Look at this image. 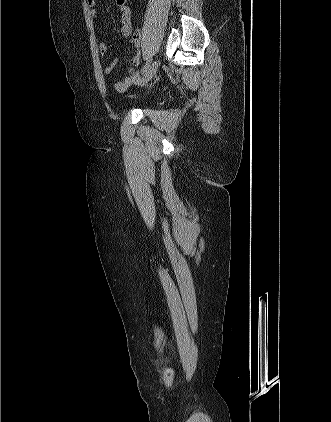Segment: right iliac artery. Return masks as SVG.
<instances>
[{
  "mask_svg": "<svg viewBox=\"0 0 331 422\" xmlns=\"http://www.w3.org/2000/svg\"><path fill=\"white\" fill-rule=\"evenodd\" d=\"M150 64H151V61H150V60H148V61L144 64V66L142 67V69H141V73L145 72V71L148 69V67L150 66Z\"/></svg>",
  "mask_w": 331,
  "mask_h": 422,
  "instance_id": "1",
  "label": "right iliac artery"
}]
</instances>
